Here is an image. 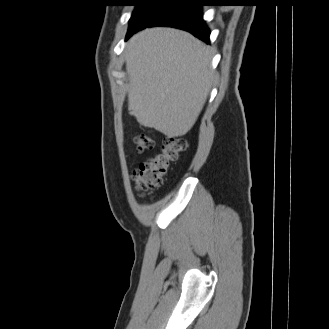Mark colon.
Returning <instances> with one entry per match:
<instances>
[{
  "instance_id": "obj_1",
  "label": "colon",
  "mask_w": 329,
  "mask_h": 329,
  "mask_svg": "<svg viewBox=\"0 0 329 329\" xmlns=\"http://www.w3.org/2000/svg\"><path fill=\"white\" fill-rule=\"evenodd\" d=\"M137 151L143 152L154 147V140L148 133L134 138ZM186 141L181 137L167 136L161 150L142 163L133 174V187L140 193L158 189L163 184L170 166L176 163L186 150Z\"/></svg>"
}]
</instances>
